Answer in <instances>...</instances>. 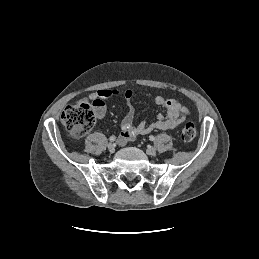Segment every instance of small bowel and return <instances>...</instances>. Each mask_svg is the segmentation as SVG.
<instances>
[{
	"label": "small bowel",
	"instance_id": "small-bowel-1",
	"mask_svg": "<svg viewBox=\"0 0 259 259\" xmlns=\"http://www.w3.org/2000/svg\"><path fill=\"white\" fill-rule=\"evenodd\" d=\"M118 94H122L125 97L128 106L127 113L121 120V134L119 136V143L121 145L134 141L137 137L146 135L153 130H172L176 128L189 113L188 109L177 99H167L162 95L147 93L146 96L160 107L162 112L159 113L156 120L151 123L142 121L138 125H134L135 94L132 90L119 92L117 90L102 89L88 94L87 97L79 102L92 101L97 118L102 119L106 112L105 101Z\"/></svg>",
	"mask_w": 259,
	"mask_h": 259
}]
</instances>
